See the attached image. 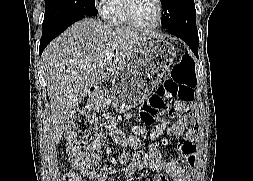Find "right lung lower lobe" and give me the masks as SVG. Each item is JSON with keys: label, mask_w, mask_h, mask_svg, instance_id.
<instances>
[{"label": "right lung lower lobe", "mask_w": 253, "mask_h": 181, "mask_svg": "<svg viewBox=\"0 0 253 181\" xmlns=\"http://www.w3.org/2000/svg\"><path fill=\"white\" fill-rule=\"evenodd\" d=\"M84 17H85V15L72 17V18L66 20L65 22L60 23L56 26L43 29L42 37L40 40L39 54L40 55L42 54V52H43L44 48L47 46V44H49L56 36L61 34L71 24L83 19Z\"/></svg>", "instance_id": "obj_1"}]
</instances>
